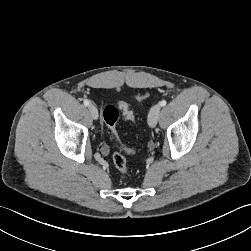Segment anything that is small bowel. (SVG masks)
I'll return each instance as SVG.
<instances>
[{
    "instance_id": "c3829d8e",
    "label": "small bowel",
    "mask_w": 251,
    "mask_h": 251,
    "mask_svg": "<svg viewBox=\"0 0 251 251\" xmlns=\"http://www.w3.org/2000/svg\"><path fill=\"white\" fill-rule=\"evenodd\" d=\"M102 152L104 153V154H107L108 153V148L105 146V147H103L102 148Z\"/></svg>"
}]
</instances>
